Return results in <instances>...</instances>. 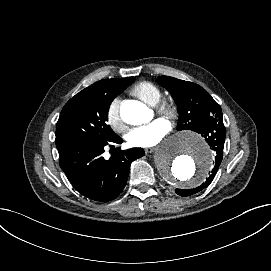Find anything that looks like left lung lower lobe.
Segmentation results:
<instances>
[{
	"instance_id": "left-lung-lower-lobe-1",
	"label": "left lung lower lobe",
	"mask_w": 271,
	"mask_h": 271,
	"mask_svg": "<svg viewBox=\"0 0 271 271\" xmlns=\"http://www.w3.org/2000/svg\"><path fill=\"white\" fill-rule=\"evenodd\" d=\"M199 134L202 135V137L205 138V141L208 143L210 148L214 151L215 154V165L214 168L210 174V176L206 179V181L199 187H196L194 189H176V193L180 196H190L192 194H195L204 188H206L214 179L215 174L220 166V163L223 158V147L226 137V129L223 124V119L216 118L215 121L211 122L208 126L200 129L198 131Z\"/></svg>"
}]
</instances>
